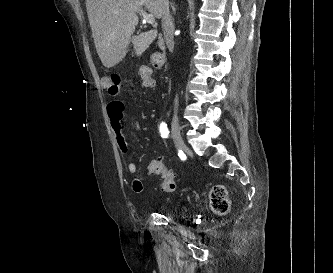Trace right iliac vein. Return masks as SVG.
Listing matches in <instances>:
<instances>
[{
  "mask_svg": "<svg viewBox=\"0 0 333 273\" xmlns=\"http://www.w3.org/2000/svg\"><path fill=\"white\" fill-rule=\"evenodd\" d=\"M171 129H172V135L176 141L177 147L181 150H184L186 148L182 135H181V128L179 124V120L176 115L173 116L172 118V123H171Z\"/></svg>",
  "mask_w": 333,
  "mask_h": 273,
  "instance_id": "obj_1",
  "label": "right iliac vein"
}]
</instances>
